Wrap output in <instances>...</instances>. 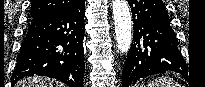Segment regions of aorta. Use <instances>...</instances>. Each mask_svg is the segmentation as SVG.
<instances>
[{
    "label": "aorta",
    "mask_w": 205,
    "mask_h": 87,
    "mask_svg": "<svg viewBox=\"0 0 205 87\" xmlns=\"http://www.w3.org/2000/svg\"><path fill=\"white\" fill-rule=\"evenodd\" d=\"M112 12L118 50L126 53L132 42V22L126 0H113Z\"/></svg>",
    "instance_id": "obj_1"
}]
</instances>
